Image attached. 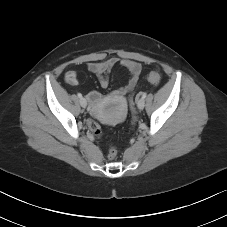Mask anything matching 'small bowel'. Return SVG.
I'll return each mask as SVG.
<instances>
[{"instance_id":"c3829d8e","label":"small bowel","mask_w":227,"mask_h":227,"mask_svg":"<svg viewBox=\"0 0 227 227\" xmlns=\"http://www.w3.org/2000/svg\"><path fill=\"white\" fill-rule=\"evenodd\" d=\"M120 65L125 68L129 73V78L126 84L117 90H114L110 96L112 98L124 99L135 87L139 76L142 71L141 65L133 60L119 59L117 57H111L103 61H94L87 64V70L95 74L99 80L102 88H107L109 85V73L116 66ZM64 80L69 85L78 84V75L75 71L69 70L64 75ZM87 97L92 106L98 105L102 100V95L97 91H91L87 94Z\"/></svg>"}]
</instances>
